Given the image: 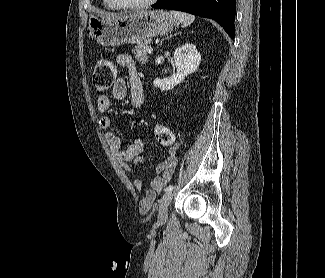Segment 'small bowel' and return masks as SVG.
Listing matches in <instances>:
<instances>
[{
  "instance_id": "c3829d8e",
  "label": "small bowel",
  "mask_w": 325,
  "mask_h": 278,
  "mask_svg": "<svg viewBox=\"0 0 325 278\" xmlns=\"http://www.w3.org/2000/svg\"><path fill=\"white\" fill-rule=\"evenodd\" d=\"M117 64L127 68L129 71V79L126 82L123 78H118L114 84L112 95L116 100H123L127 92H130L131 105L136 109H141L144 101V90L142 80L137 72L134 59L128 54H120L117 59ZM110 99L108 95L102 94L98 97L97 108L101 113L100 127L108 129L111 126V117L108 115L110 109ZM105 139L110 149L116 154L119 161L124 165V169L128 174H133L132 164L142 165L143 159L140 154L143 152L144 144L141 138H136L133 142L122 147L118 135L114 132H107ZM164 145V144H162ZM169 146L166 158L154 168L155 178L151 181V189L148 191L149 197H155L161 192L163 187L170 181L176 167L177 151L179 148L178 142H174ZM136 189L143 188V181L136 179L134 181Z\"/></svg>"
}]
</instances>
